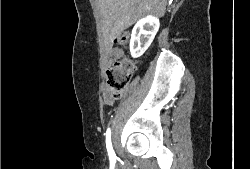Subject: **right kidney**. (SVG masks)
I'll list each match as a JSON object with an SVG mask.
<instances>
[{
	"label": "right kidney",
	"mask_w": 250,
	"mask_h": 169,
	"mask_svg": "<svg viewBox=\"0 0 250 169\" xmlns=\"http://www.w3.org/2000/svg\"><path fill=\"white\" fill-rule=\"evenodd\" d=\"M159 26V18L152 16V14H148L145 18H140L136 22L130 38V52L133 58L141 56L147 50L156 32H158Z\"/></svg>",
	"instance_id": "1"
}]
</instances>
